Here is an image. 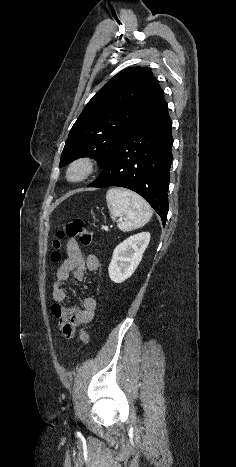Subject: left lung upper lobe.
<instances>
[{
	"label": "left lung upper lobe",
	"mask_w": 236,
	"mask_h": 467,
	"mask_svg": "<svg viewBox=\"0 0 236 467\" xmlns=\"http://www.w3.org/2000/svg\"><path fill=\"white\" fill-rule=\"evenodd\" d=\"M163 99L164 92L150 69L122 70L93 96L74 123L59 167L91 157L103 168L124 134Z\"/></svg>",
	"instance_id": "obj_1"
}]
</instances>
